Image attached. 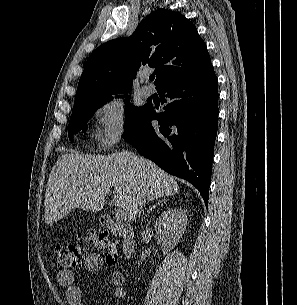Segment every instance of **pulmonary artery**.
Masks as SVG:
<instances>
[{
    "label": "pulmonary artery",
    "instance_id": "e3ab8cb5",
    "mask_svg": "<svg viewBox=\"0 0 297 305\" xmlns=\"http://www.w3.org/2000/svg\"><path fill=\"white\" fill-rule=\"evenodd\" d=\"M147 77L148 76L146 74H143L141 76V79L142 80H146ZM141 94L143 95V97H149V96H151L153 94V89L150 86H148V85H144L141 88Z\"/></svg>",
    "mask_w": 297,
    "mask_h": 305
}]
</instances>
